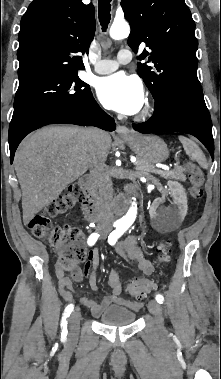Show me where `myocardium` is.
Returning <instances> with one entry per match:
<instances>
[{
  "label": "myocardium",
  "mask_w": 221,
  "mask_h": 379,
  "mask_svg": "<svg viewBox=\"0 0 221 379\" xmlns=\"http://www.w3.org/2000/svg\"><path fill=\"white\" fill-rule=\"evenodd\" d=\"M153 112V106L150 102H147L143 107L142 111L137 116V120L147 119Z\"/></svg>",
  "instance_id": "obj_1"
}]
</instances>
